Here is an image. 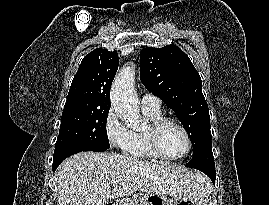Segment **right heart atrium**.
I'll list each match as a JSON object with an SVG mask.
<instances>
[{
    "instance_id": "1",
    "label": "right heart atrium",
    "mask_w": 269,
    "mask_h": 205,
    "mask_svg": "<svg viewBox=\"0 0 269 205\" xmlns=\"http://www.w3.org/2000/svg\"><path fill=\"white\" fill-rule=\"evenodd\" d=\"M104 132L109 144L117 149L125 150L131 138V131L122 124L113 108H110L104 119Z\"/></svg>"
}]
</instances>
